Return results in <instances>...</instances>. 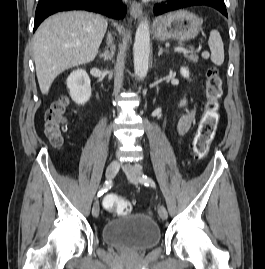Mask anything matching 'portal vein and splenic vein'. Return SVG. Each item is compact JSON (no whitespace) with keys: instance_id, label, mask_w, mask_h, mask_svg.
Masks as SVG:
<instances>
[{"instance_id":"obj_1","label":"portal vein and splenic vein","mask_w":265,"mask_h":269,"mask_svg":"<svg viewBox=\"0 0 265 269\" xmlns=\"http://www.w3.org/2000/svg\"><path fill=\"white\" fill-rule=\"evenodd\" d=\"M175 52L182 53V52H190L189 50H186L184 47H176L174 49Z\"/></svg>"}]
</instances>
